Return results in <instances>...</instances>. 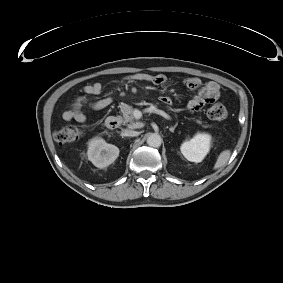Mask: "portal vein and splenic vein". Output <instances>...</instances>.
Masks as SVG:
<instances>
[{
    "instance_id": "portal-vein-and-splenic-vein-1",
    "label": "portal vein and splenic vein",
    "mask_w": 283,
    "mask_h": 283,
    "mask_svg": "<svg viewBox=\"0 0 283 283\" xmlns=\"http://www.w3.org/2000/svg\"><path fill=\"white\" fill-rule=\"evenodd\" d=\"M144 112L145 113H155V114L161 115L162 117H164L167 120L171 119V117L166 112H164L163 110L157 109L155 106H150L148 108H145ZM141 116H142V113L140 111L135 112V118L136 119H140Z\"/></svg>"
}]
</instances>
